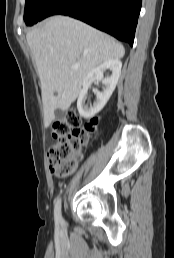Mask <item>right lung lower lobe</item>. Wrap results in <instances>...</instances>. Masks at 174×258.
I'll use <instances>...</instances> for the list:
<instances>
[{"instance_id":"obj_1","label":"right lung lower lobe","mask_w":174,"mask_h":258,"mask_svg":"<svg viewBox=\"0 0 174 258\" xmlns=\"http://www.w3.org/2000/svg\"><path fill=\"white\" fill-rule=\"evenodd\" d=\"M142 0H53L43 14L67 15L133 45Z\"/></svg>"}]
</instances>
